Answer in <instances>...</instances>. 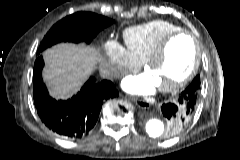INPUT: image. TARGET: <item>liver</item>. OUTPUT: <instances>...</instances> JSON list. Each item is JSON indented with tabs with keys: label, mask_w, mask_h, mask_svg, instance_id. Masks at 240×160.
<instances>
[{
	"label": "liver",
	"mask_w": 240,
	"mask_h": 160,
	"mask_svg": "<svg viewBox=\"0 0 240 160\" xmlns=\"http://www.w3.org/2000/svg\"><path fill=\"white\" fill-rule=\"evenodd\" d=\"M46 69L43 79L52 96L66 99L76 93L97 64L103 63L94 46L60 43L43 53Z\"/></svg>",
	"instance_id": "liver-1"
}]
</instances>
